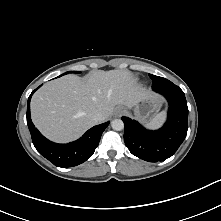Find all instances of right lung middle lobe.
<instances>
[{"label":"right lung middle lobe","instance_id":"right-lung-middle-lobe-1","mask_svg":"<svg viewBox=\"0 0 221 221\" xmlns=\"http://www.w3.org/2000/svg\"><path fill=\"white\" fill-rule=\"evenodd\" d=\"M67 73H72V71L66 72V73H64L63 75H65V74H67ZM73 73H78V72H77V71H73Z\"/></svg>","mask_w":221,"mask_h":221}]
</instances>
